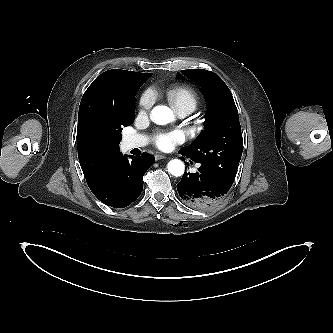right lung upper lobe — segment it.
Masks as SVG:
<instances>
[{
	"mask_svg": "<svg viewBox=\"0 0 333 333\" xmlns=\"http://www.w3.org/2000/svg\"><path fill=\"white\" fill-rule=\"evenodd\" d=\"M150 73L112 69L101 74L85 91L78 113V158L91 191L108 179L120 153L114 141L117 116H130L134 93Z\"/></svg>",
	"mask_w": 333,
	"mask_h": 333,
	"instance_id": "right-lung-upper-lobe-1",
	"label": "right lung upper lobe"
}]
</instances>
